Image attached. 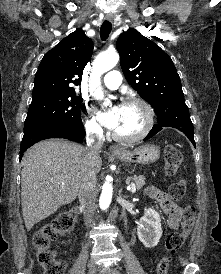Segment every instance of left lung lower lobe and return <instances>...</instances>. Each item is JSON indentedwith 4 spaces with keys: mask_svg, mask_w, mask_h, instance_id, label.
I'll list each match as a JSON object with an SVG mask.
<instances>
[{
    "mask_svg": "<svg viewBox=\"0 0 221 274\" xmlns=\"http://www.w3.org/2000/svg\"><path fill=\"white\" fill-rule=\"evenodd\" d=\"M163 127H173L182 131L195 146L193 124L190 119L189 110L186 104L170 108L166 112L157 116V124L148 133L144 140H148Z\"/></svg>",
    "mask_w": 221,
    "mask_h": 274,
    "instance_id": "0a47b994",
    "label": "left lung lower lobe"
}]
</instances>
